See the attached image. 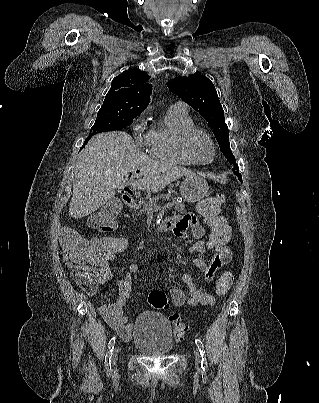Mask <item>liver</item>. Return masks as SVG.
Listing matches in <instances>:
<instances>
[{"instance_id": "liver-1", "label": "liver", "mask_w": 319, "mask_h": 403, "mask_svg": "<svg viewBox=\"0 0 319 403\" xmlns=\"http://www.w3.org/2000/svg\"><path fill=\"white\" fill-rule=\"evenodd\" d=\"M140 171L133 189L158 192L191 170L151 159L123 131L93 136L79 154L73 180L70 216L78 219L98 210L114 198L117 189L129 184V173Z\"/></svg>"}]
</instances>
